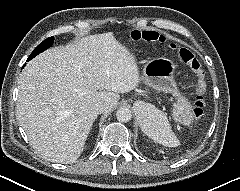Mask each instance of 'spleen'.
I'll return each instance as SVG.
<instances>
[{
    "label": "spleen",
    "instance_id": "spleen-1",
    "mask_svg": "<svg viewBox=\"0 0 240 191\" xmlns=\"http://www.w3.org/2000/svg\"><path fill=\"white\" fill-rule=\"evenodd\" d=\"M140 127L149 138L159 144L167 147H176L180 144L166 115L154 106L148 105L141 113Z\"/></svg>",
    "mask_w": 240,
    "mask_h": 191
}]
</instances>
